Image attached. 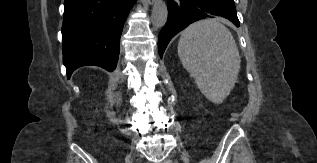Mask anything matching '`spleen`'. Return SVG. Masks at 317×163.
Instances as JSON below:
<instances>
[{
  "instance_id": "spleen-1",
  "label": "spleen",
  "mask_w": 317,
  "mask_h": 163,
  "mask_svg": "<svg viewBox=\"0 0 317 163\" xmlns=\"http://www.w3.org/2000/svg\"><path fill=\"white\" fill-rule=\"evenodd\" d=\"M178 56L204 96L221 103L233 89L240 55L231 32L214 19L191 24L181 34Z\"/></svg>"
}]
</instances>
